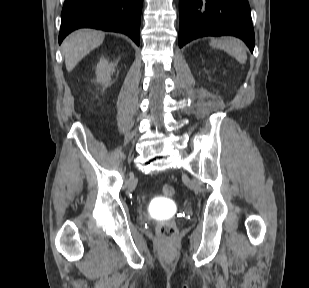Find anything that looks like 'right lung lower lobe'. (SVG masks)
<instances>
[{
    "mask_svg": "<svg viewBox=\"0 0 309 288\" xmlns=\"http://www.w3.org/2000/svg\"><path fill=\"white\" fill-rule=\"evenodd\" d=\"M143 0H65L59 44L73 30L95 28L128 35L140 42Z\"/></svg>",
    "mask_w": 309,
    "mask_h": 288,
    "instance_id": "obj_1",
    "label": "right lung lower lobe"
}]
</instances>
